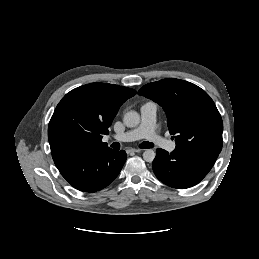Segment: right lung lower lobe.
Listing matches in <instances>:
<instances>
[{
	"label": "right lung lower lobe",
	"instance_id": "obj_1",
	"mask_svg": "<svg viewBox=\"0 0 259 259\" xmlns=\"http://www.w3.org/2000/svg\"><path fill=\"white\" fill-rule=\"evenodd\" d=\"M126 158L124 150L108 149L54 163L71 186L80 191L95 192L108 186L118 176Z\"/></svg>",
	"mask_w": 259,
	"mask_h": 259
}]
</instances>
